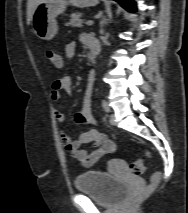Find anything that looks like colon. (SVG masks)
<instances>
[{"label":"colon","mask_w":188,"mask_h":213,"mask_svg":"<svg viewBox=\"0 0 188 213\" xmlns=\"http://www.w3.org/2000/svg\"><path fill=\"white\" fill-rule=\"evenodd\" d=\"M46 55L49 60L59 62V54H57L56 52L52 50H48L46 52ZM145 168H146L145 161L142 159H138L131 165L130 170L133 175L140 176L141 174L145 172ZM158 174H159L158 172H155L153 174V179H156L158 177ZM148 192H149V188L147 186L139 185L135 192V201L142 199L144 196L148 194Z\"/></svg>","instance_id":"colon-1"}]
</instances>
